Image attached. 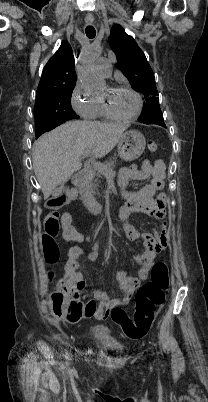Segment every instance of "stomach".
<instances>
[{
  "label": "stomach",
  "mask_w": 208,
  "mask_h": 402,
  "mask_svg": "<svg viewBox=\"0 0 208 402\" xmlns=\"http://www.w3.org/2000/svg\"><path fill=\"white\" fill-rule=\"evenodd\" d=\"M146 142L143 134L136 130H129L123 134L118 142V154L125 162H132L140 158L145 150Z\"/></svg>",
  "instance_id": "1"
}]
</instances>
